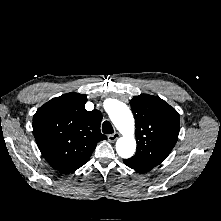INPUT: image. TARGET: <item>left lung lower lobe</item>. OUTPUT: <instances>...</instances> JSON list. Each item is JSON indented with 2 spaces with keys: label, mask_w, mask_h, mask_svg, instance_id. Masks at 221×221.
Wrapping results in <instances>:
<instances>
[{
  "label": "left lung lower lobe",
  "mask_w": 221,
  "mask_h": 221,
  "mask_svg": "<svg viewBox=\"0 0 221 221\" xmlns=\"http://www.w3.org/2000/svg\"><path fill=\"white\" fill-rule=\"evenodd\" d=\"M124 163L128 167H130V168H132L135 171L140 172V173L147 172V171H149V170H151L153 168V167H150V166H147V165L139 164V163H137L135 161H131V160H128V159L124 160Z\"/></svg>",
  "instance_id": "1"
}]
</instances>
